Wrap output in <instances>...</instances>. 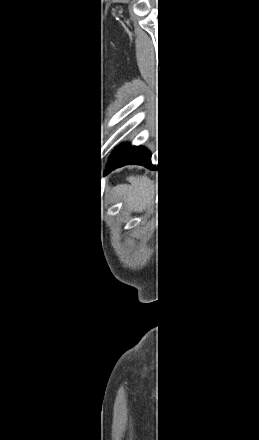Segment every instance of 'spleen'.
<instances>
[{
  "mask_svg": "<svg viewBox=\"0 0 259 440\" xmlns=\"http://www.w3.org/2000/svg\"><path fill=\"white\" fill-rule=\"evenodd\" d=\"M130 185H116L110 196L115 199H123L125 206L133 211H143L151 209L154 182L146 176L127 177Z\"/></svg>",
  "mask_w": 259,
  "mask_h": 440,
  "instance_id": "obj_1",
  "label": "spleen"
}]
</instances>
